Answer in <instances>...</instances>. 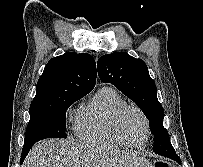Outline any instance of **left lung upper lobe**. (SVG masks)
Masks as SVG:
<instances>
[{
  "label": "left lung upper lobe",
  "instance_id": "obj_1",
  "mask_svg": "<svg viewBox=\"0 0 203 167\" xmlns=\"http://www.w3.org/2000/svg\"><path fill=\"white\" fill-rule=\"evenodd\" d=\"M97 70L103 83L114 84L143 111L154 135V145L170 140L163 126L164 111L157 99L155 82L143 60L126 52L111 53L99 58Z\"/></svg>",
  "mask_w": 203,
  "mask_h": 167
}]
</instances>
